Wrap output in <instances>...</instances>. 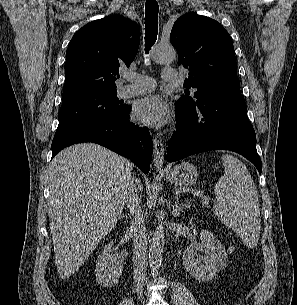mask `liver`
Returning a JSON list of instances; mask_svg holds the SVG:
<instances>
[{
  "label": "liver",
  "mask_w": 297,
  "mask_h": 305,
  "mask_svg": "<svg viewBox=\"0 0 297 305\" xmlns=\"http://www.w3.org/2000/svg\"><path fill=\"white\" fill-rule=\"evenodd\" d=\"M48 174L55 261L59 277L66 279L117 224L132 180V164L98 144L81 143L57 154Z\"/></svg>",
  "instance_id": "1"
}]
</instances>
